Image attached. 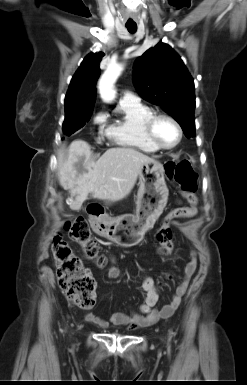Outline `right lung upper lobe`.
<instances>
[{
	"label": "right lung upper lobe",
	"mask_w": 247,
	"mask_h": 385,
	"mask_svg": "<svg viewBox=\"0 0 247 385\" xmlns=\"http://www.w3.org/2000/svg\"><path fill=\"white\" fill-rule=\"evenodd\" d=\"M103 56L104 53L99 52L90 53L84 58L71 80L65 97V107H94L95 85L100 75L99 63Z\"/></svg>",
	"instance_id": "obj_1"
}]
</instances>
